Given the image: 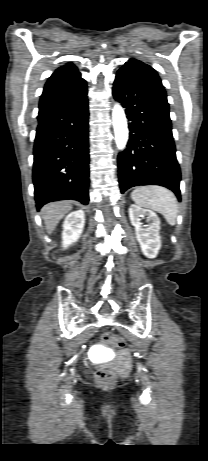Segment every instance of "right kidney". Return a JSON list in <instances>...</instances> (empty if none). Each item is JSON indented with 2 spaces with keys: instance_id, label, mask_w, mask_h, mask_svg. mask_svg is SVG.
I'll return each mask as SVG.
<instances>
[{
  "instance_id": "right-kidney-1",
  "label": "right kidney",
  "mask_w": 208,
  "mask_h": 461,
  "mask_svg": "<svg viewBox=\"0 0 208 461\" xmlns=\"http://www.w3.org/2000/svg\"><path fill=\"white\" fill-rule=\"evenodd\" d=\"M85 214L83 210H77L68 214L63 223L62 246L67 248L76 242L83 232Z\"/></svg>"
}]
</instances>
